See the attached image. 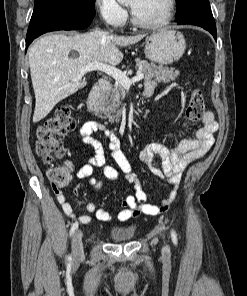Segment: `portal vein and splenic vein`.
Here are the masks:
<instances>
[{
  "label": "portal vein and splenic vein",
  "mask_w": 247,
  "mask_h": 296,
  "mask_svg": "<svg viewBox=\"0 0 247 296\" xmlns=\"http://www.w3.org/2000/svg\"><path fill=\"white\" fill-rule=\"evenodd\" d=\"M94 70L102 71L108 74L109 76L113 77L115 81L122 85L125 89H129L132 83L141 81L144 78L143 73H138L135 77L130 79L125 72L101 62H92L86 64L84 67L80 69V73L83 75L89 71Z\"/></svg>",
  "instance_id": "18ae733b"
}]
</instances>
